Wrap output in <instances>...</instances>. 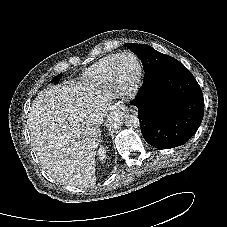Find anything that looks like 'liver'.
Masks as SVG:
<instances>
[{"mask_svg":"<svg viewBox=\"0 0 227 227\" xmlns=\"http://www.w3.org/2000/svg\"><path fill=\"white\" fill-rule=\"evenodd\" d=\"M111 94L96 85H55L38 93L28 129L40 163L56 181L74 187L96 184L99 126Z\"/></svg>","mask_w":227,"mask_h":227,"instance_id":"liver-1","label":"liver"}]
</instances>
